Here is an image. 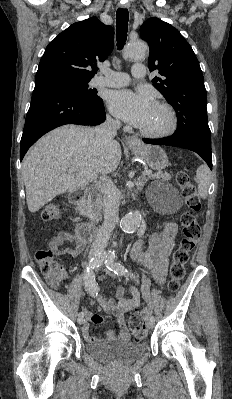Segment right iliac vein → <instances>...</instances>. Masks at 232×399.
<instances>
[{
  "label": "right iliac vein",
  "mask_w": 232,
  "mask_h": 399,
  "mask_svg": "<svg viewBox=\"0 0 232 399\" xmlns=\"http://www.w3.org/2000/svg\"><path fill=\"white\" fill-rule=\"evenodd\" d=\"M77 322H78V324H79V323H82V324H83V322H84V316H83V315L78 316V317H77Z\"/></svg>",
  "instance_id": "obj_1"
}]
</instances>
